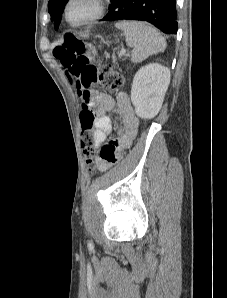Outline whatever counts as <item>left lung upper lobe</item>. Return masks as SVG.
I'll list each match as a JSON object with an SVG mask.
<instances>
[{
	"label": "left lung upper lobe",
	"mask_w": 227,
	"mask_h": 298,
	"mask_svg": "<svg viewBox=\"0 0 227 298\" xmlns=\"http://www.w3.org/2000/svg\"><path fill=\"white\" fill-rule=\"evenodd\" d=\"M67 2L68 0H49L48 2V11L51 15V21L54 22L56 30L60 24L61 15Z\"/></svg>",
	"instance_id": "1"
}]
</instances>
